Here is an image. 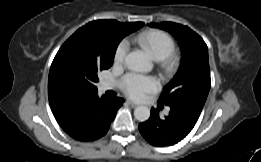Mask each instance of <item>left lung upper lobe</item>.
I'll use <instances>...</instances> for the list:
<instances>
[{"label": "left lung upper lobe", "instance_id": "obj_1", "mask_svg": "<svg viewBox=\"0 0 261 162\" xmlns=\"http://www.w3.org/2000/svg\"><path fill=\"white\" fill-rule=\"evenodd\" d=\"M148 25L170 32L182 47L181 68L164 87L159 102L169 106L185 102L202 111L211 86L208 49L204 40L187 26L177 23Z\"/></svg>", "mask_w": 261, "mask_h": 162}]
</instances>
